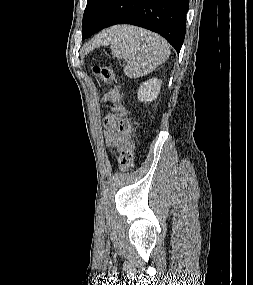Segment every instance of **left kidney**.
<instances>
[{
    "mask_svg": "<svg viewBox=\"0 0 253 285\" xmlns=\"http://www.w3.org/2000/svg\"><path fill=\"white\" fill-rule=\"evenodd\" d=\"M162 81L157 78L149 79L144 82L138 89V99L141 102H152L157 99L160 89H161Z\"/></svg>",
    "mask_w": 253,
    "mask_h": 285,
    "instance_id": "1",
    "label": "left kidney"
}]
</instances>
